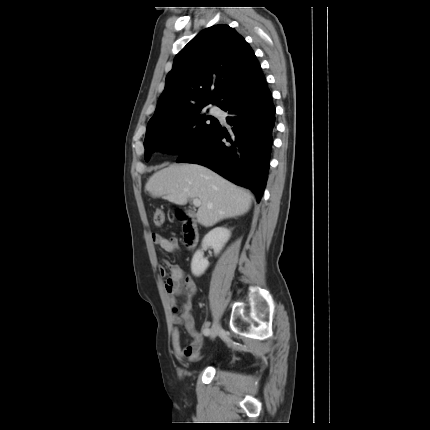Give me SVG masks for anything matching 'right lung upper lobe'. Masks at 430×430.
Instances as JSON below:
<instances>
[{
	"label": "right lung upper lobe",
	"instance_id": "cb5924a9",
	"mask_svg": "<svg viewBox=\"0 0 430 430\" xmlns=\"http://www.w3.org/2000/svg\"><path fill=\"white\" fill-rule=\"evenodd\" d=\"M264 77L245 39L220 24L201 31L174 58L147 128L187 110L225 103L235 88Z\"/></svg>",
	"mask_w": 430,
	"mask_h": 430
}]
</instances>
